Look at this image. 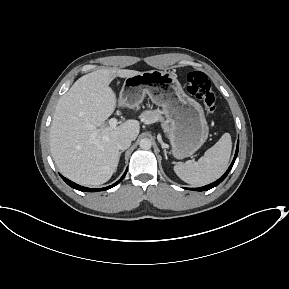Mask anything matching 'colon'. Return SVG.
Returning a JSON list of instances; mask_svg holds the SVG:
<instances>
[{"label":"colon","instance_id":"colon-1","mask_svg":"<svg viewBox=\"0 0 289 289\" xmlns=\"http://www.w3.org/2000/svg\"><path fill=\"white\" fill-rule=\"evenodd\" d=\"M185 90L203 100L207 114L214 113L216 109L217 96L208 77L199 71L189 72L186 75Z\"/></svg>","mask_w":289,"mask_h":289}]
</instances>
